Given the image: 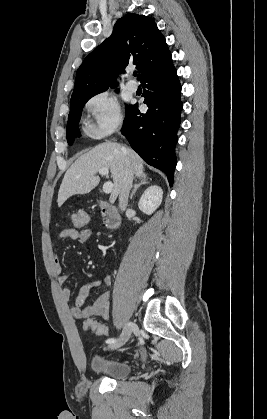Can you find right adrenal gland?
Wrapping results in <instances>:
<instances>
[{"label":"right adrenal gland","instance_id":"obj_1","mask_svg":"<svg viewBox=\"0 0 267 419\" xmlns=\"http://www.w3.org/2000/svg\"><path fill=\"white\" fill-rule=\"evenodd\" d=\"M148 179H149V178H148V177H146V176H141V177H139V183L134 185V189H133V191H132V193H131V195H130V199H131V200H132V198H133L134 194L136 193V191L138 190V188H139L140 186H142V185H144V184H148V183H149ZM150 180H151V179H150Z\"/></svg>","mask_w":267,"mask_h":419}]
</instances>
